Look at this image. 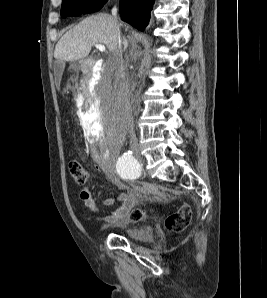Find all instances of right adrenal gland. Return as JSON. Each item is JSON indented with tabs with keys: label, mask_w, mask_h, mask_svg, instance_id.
<instances>
[{
	"label": "right adrenal gland",
	"mask_w": 267,
	"mask_h": 298,
	"mask_svg": "<svg viewBox=\"0 0 267 298\" xmlns=\"http://www.w3.org/2000/svg\"><path fill=\"white\" fill-rule=\"evenodd\" d=\"M123 45H124V50H126V48L128 47V41L125 36L123 37Z\"/></svg>",
	"instance_id": "obj_1"
}]
</instances>
